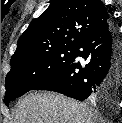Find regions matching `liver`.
<instances>
[{"mask_svg": "<svg viewBox=\"0 0 122 123\" xmlns=\"http://www.w3.org/2000/svg\"><path fill=\"white\" fill-rule=\"evenodd\" d=\"M98 112L86 103L54 92H30L20 99L12 123H97Z\"/></svg>", "mask_w": 122, "mask_h": 123, "instance_id": "1", "label": "liver"}]
</instances>
